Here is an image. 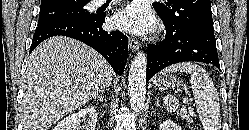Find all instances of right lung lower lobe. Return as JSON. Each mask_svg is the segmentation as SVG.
<instances>
[{
	"mask_svg": "<svg viewBox=\"0 0 249 130\" xmlns=\"http://www.w3.org/2000/svg\"><path fill=\"white\" fill-rule=\"evenodd\" d=\"M104 22L105 16L94 15L87 20L38 26L32 39L30 52L42 41L52 36L71 37L98 51L109 62L115 73L121 75L128 56V38L120 31H104L102 29Z\"/></svg>",
	"mask_w": 249,
	"mask_h": 130,
	"instance_id": "1",
	"label": "right lung lower lobe"
}]
</instances>
